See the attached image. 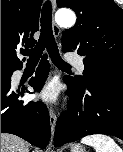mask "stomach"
Masks as SVG:
<instances>
[{"label":"stomach","mask_w":123,"mask_h":152,"mask_svg":"<svg viewBox=\"0 0 123 152\" xmlns=\"http://www.w3.org/2000/svg\"><path fill=\"white\" fill-rule=\"evenodd\" d=\"M70 152H86L85 148L79 144H73Z\"/></svg>","instance_id":"1"}]
</instances>
